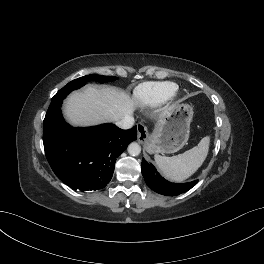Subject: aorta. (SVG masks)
<instances>
[{
    "label": "aorta",
    "instance_id": "obj_1",
    "mask_svg": "<svg viewBox=\"0 0 264 264\" xmlns=\"http://www.w3.org/2000/svg\"><path fill=\"white\" fill-rule=\"evenodd\" d=\"M128 153L131 156H138L141 153V147L138 143L133 142L128 146Z\"/></svg>",
    "mask_w": 264,
    "mask_h": 264
}]
</instances>
